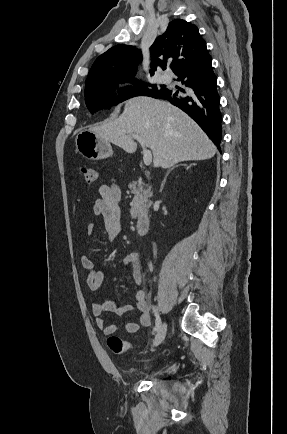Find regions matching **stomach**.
Returning a JSON list of instances; mask_svg holds the SVG:
<instances>
[{"instance_id":"1","label":"stomach","mask_w":287,"mask_h":434,"mask_svg":"<svg viewBox=\"0 0 287 434\" xmlns=\"http://www.w3.org/2000/svg\"><path fill=\"white\" fill-rule=\"evenodd\" d=\"M77 151L86 159L101 160L113 155L109 141L89 129L79 131L75 138Z\"/></svg>"}]
</instances>
